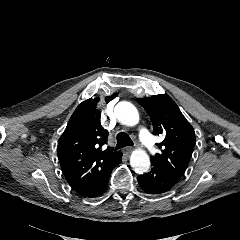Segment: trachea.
<instances>
[{
    "label": "trachea",
    "mask_w": 240,
    "mask_h": 240,
    "mask_svg": "<svg viewBox=\"0 0 240 240\" xmlns=\"http://www.w3.org/2000/svg\"><path fill=\"white\" fill-rule=\"evenodd\" d=\"M117 145H116V150L120 149V148H123L125 146H131L133 145V142L132 140L130 139V137L124 133V132H119L117 134Z\"/></svg>",
    "instance_id": "obj_1"
}]
</instances>
